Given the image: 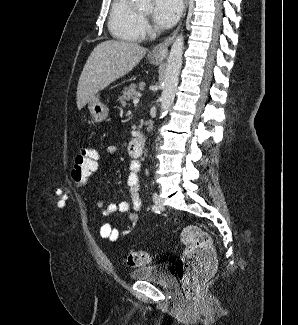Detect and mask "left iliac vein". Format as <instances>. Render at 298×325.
I'll return each mask as SVG.
<instances>
[{
  "label": "left iliac vein",
  "mask_w": 298,
  "mask_h": 325,
  "mask_svg": "<svg viewBox=\"0 0 298 325\" xmlns=\"http://www.w3.org/2000/svg\"><path fill=\"white\" fill-rule=\"evenodd\" d=\"M153 201H154V203L157 206L159 211L164 210V205L162 203V200H161L160 196L156 192L153 193Z\"/></svg>",
  "instance_id": "4c4485c4"
}]
</instances>
